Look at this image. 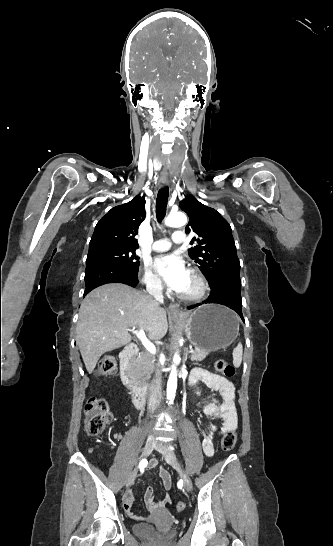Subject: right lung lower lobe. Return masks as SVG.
I'll use <instances>...</instances> for the list:
<instances>
[{
	"mask_svg": "<svg viewBox=\"0 0 333 546\" xmlns=\"http://www.w3.org/2000/svg\"><path fill=\"white\" fill-rule=\"evenodd\" d=\"M138 271L105 260H92L86 263V296L94 288L107 283H124L132 287L138 284Z\"/></svg>",
	"mask_w": 333,
	"mask_h": 546,
	"instance_id": "98d812e1",
	"label": "right lung lower lobe"
}]
</instances>
